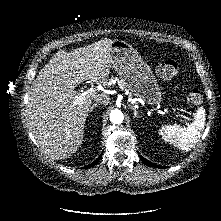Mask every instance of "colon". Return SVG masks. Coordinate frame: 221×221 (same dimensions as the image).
<instances>
[{
    "instance_id": "colon-1",
    "label": "colon",
    "mask_w": 221,
    "mask_h": 221,
    "mask_svg": "<svg viewBox=\"0 0 221 221\" xmlns=\"http://www.w3.org/2000/svg\"><path fill=\"white\" fill-rule=\"evenodd\" d=\"M179 73V65L175 60H167L157 67V74L166 80L174 78ZM203 102V96L198 89H193L187 95V103L198 106Z\"/></svg>"
}]
</instances>
